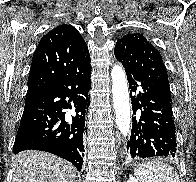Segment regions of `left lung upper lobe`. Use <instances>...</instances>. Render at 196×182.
Instances as JSON below:
<instances>
[{"label": "left lung upper lobe", "mask_w": 196, "mask_h": 182, "mask_svg": "<svg viewBox=\"0 0 196 182\" xmlns=\"http://www.w3.org/2000/svg\"><path fill=\"white\" fill-rule=\"evenodd\" d=\"M116 58L141 74L171 98L168 75L160 52L142 34H127L115 45Z\"/></svg>", "instance_id": "5c2ea615"}]
</instances>
